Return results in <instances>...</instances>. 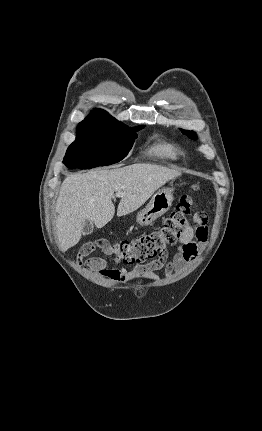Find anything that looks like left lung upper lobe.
<instances>
[{
    "label": "left lung upper lobe",
    "instance_id": "1",
    "mask_svg": "<svg viewBox=\"0 0 262 431\" xmlns=\"http://www.w3.org/2000/svg\"><path fill=\"white\" fill-rule=\"evenodd\" d=\"M182 132H183L185 135H187L189 138H191V139H193V140H195V139H196V135H195V133H194V132L186 131V130H182Z\"/></svg>",
    "mask_w": 262,
    "mask_h": 431
}]
</instances>
